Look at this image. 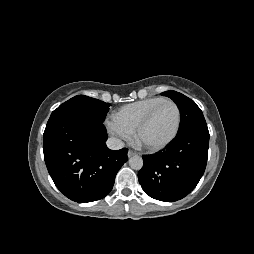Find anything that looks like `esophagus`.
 I'll use <instances>...</instances> for the list:
<instances>
[{
	"mask_svg": "<svg viewBox=\"0 0 254 254\" xmlns=\"http://www.w3.org/2000/svg\"><path fill=\"white\" fill-rule=\"evenodd\" d=\"M137 154V152H135V151H132V150H129L128 151V157L130 158V157H132V156H134V155H136Z\"/></svg>",
	"mask_w": 254,
	"mask_h": 254,
	"instance_id": "obj_1",
	"label": "esophagus"
}]
</instances>
